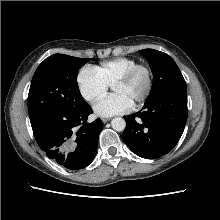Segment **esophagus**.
<instances>
[{"mask_svg":"<svg viewBox=\"0 0 220 220\" xmlns=\"http://www.w3.org/2000/svg\"><path fill=\"white\" fill-rule=\"evenodd\" d=\"M110 120V118H102L103 123H107Z\"/></svg>","mask_w":220,"mask_h":220,"instance_id":"obj_1","label":"esophagus"}]
</instances>
